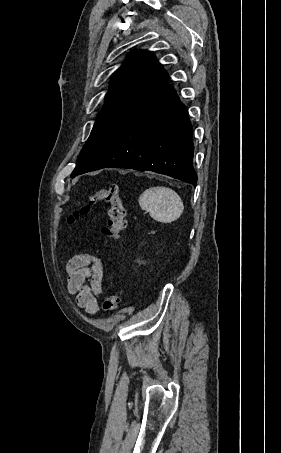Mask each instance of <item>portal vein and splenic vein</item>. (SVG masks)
Segmentation results:
<instances>
[{
	"label": "portal vein and splenic vein",
	"mask_w": 281,
	"mask_h": 453,
	"mask_svg": "<svg viewBox=\"0 0 281 453\" xmlns=\"http://www.w3.org/2000/svg\"><path fill=\"white\" fill-rule=\"evenodd\" d=\"M144 215H147V212H144Z\"/></svg>",
	"instance_id": "1"
}]
</instances>
